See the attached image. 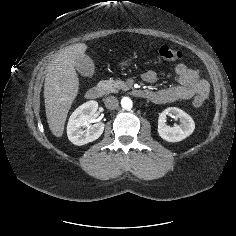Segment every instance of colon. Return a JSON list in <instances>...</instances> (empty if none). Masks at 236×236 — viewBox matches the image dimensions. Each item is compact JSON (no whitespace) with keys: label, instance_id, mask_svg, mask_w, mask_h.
Masks as SVG:
<instances>
[{"label":"colon","instance_id":"1","mask_svg":"<svg viewBox=\"0 0 236 236\" xmlns=\"http://www.w3.org/2000/svg\"><path fill=\"white\" fill-rule=\"evenodd\" d=\"M159 57L166 62L176 63L182 59V53L168 45H160L157 47ZM203 98L195 96L193 99V105L196 108H200L203 105Z\"/></svg>","mask_w":236,"mask_h":236}]
</instances>
